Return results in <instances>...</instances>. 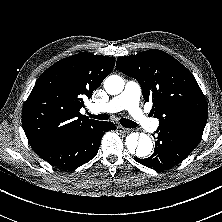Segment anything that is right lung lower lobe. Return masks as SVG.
<instances>
[{
    "label": "right lung lower lobe",
    "instance_id": "98d812e1",
    "mask_svg": "<svg viewBox=\"0 0 222 222\" xmlns=\"http://www.w3.org/2000/svg\"><path fill=\"white\" fill-rule=\"evenodd\" d=\"M108 130H116L112 122L95 121L72 136L53 139L32 148L53 166L71 170L97 155L101 138Z\"/></svg>",
    "mask_w": 222,
    "mask_h": 222
}]
</instances>
